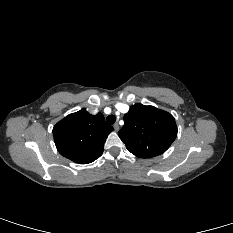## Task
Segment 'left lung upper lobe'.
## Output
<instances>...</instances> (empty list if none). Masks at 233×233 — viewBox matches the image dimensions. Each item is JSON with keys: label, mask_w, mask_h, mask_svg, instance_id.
Wrapping results in <instances>:
<instances>
[{"label": "left lung upper lobe", "mask_w": 233, "mask_h": 233, "mask_svg": "<svg viewBox=\"0 0 233 233\" xmlns=\"http://www.w3.org/2000/svg\"><path fill=\"white\" fill-rule=\"evenodd\" d=\"M120 139L129 152L140 158H151L164 153L177 136L174 117L153 106L135 104L124 115Z\"/></svg>", "instance_id": "1"}]
</instances>
